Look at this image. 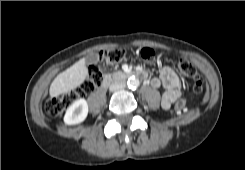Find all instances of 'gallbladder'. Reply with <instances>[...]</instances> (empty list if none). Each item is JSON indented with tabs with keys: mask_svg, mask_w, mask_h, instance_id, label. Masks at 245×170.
I'll use <instances>...</instances> for the list:
<instances>
[{
	"mask_svg": "<svg viewBox=\"0 0 245 170\" xmlns=\"http://www.w3.org/2000/svg\"><path fill=\"white\" fill-rule=\"evenodd\" d=\"M87 65L96 64L99 61V55L97 53H90L85 58Z\"/></svg>",
	"mask_w": 245,
	"mask_h": 170,
	"instance_id": "obj_1",
	"label": "gallbladder"
}]
</instances>
